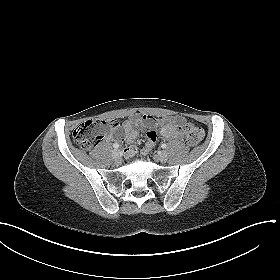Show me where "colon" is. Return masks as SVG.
<instances>
[{
	"mask_svg": "<svg viewBox=\"0 0 280 280\" xmlns=\"http://www.w3.org/2000/svg\"><path fill=\"white\" fill-rule=\"evenodd\" d=\"M115 126L116 121L111 119L87 120L74 130L73 141L83 150H92L99 143V141ZM184 134L186 141L190 145H197L204 138V131L192 123H187L184 125ZM148 150L149 148L147 147L143 149L145 152Z\"/></svg>",
	"mask_w": 280,
	"mask_h": 280,
	"instance_id": "1",
	"label": "colon"
}]
</instances>
